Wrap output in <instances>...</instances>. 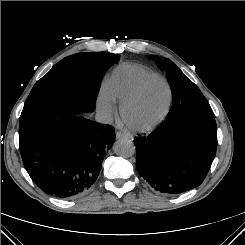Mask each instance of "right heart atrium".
I'll return each instance as SVG.
<instances>
[{"instance_id":"1","label":"right heart atrium","mask_w":245,"mask_h":245,"mask_svg":"<svg viewBox=\"0 0 245 245\" xmlns=\"http://www.w3.org/2000/svg\"><path fill=\"white\" fill-rule=\"evenodd\" d=\"M97 109L105 119H111L117 113L115 99L106 86L101 88L97 97Z\"/></svg>"}]
</instances>
